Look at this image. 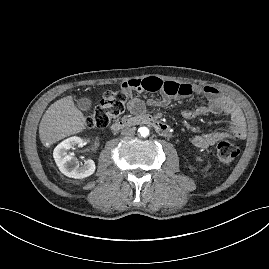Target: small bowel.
<instances>
[{
  "label": "small bowel",
  "instance_id": "1",
  "mask_svg": "<svg viewBox=\"0 0 269 269\" xmlns=\"http://www.w3.org/2000/svg\"><path fill=\"white\" fill-rule=\"evenodd\" d=\"M122 86L129 93L159 92L161 94L157 99L147 100L131 96L128 109L134 114L142 113L146 105L164 107L172 99H184L191 95L204 96L207 99V105L197 108L194 112H186V116L193 118L208 113L225 114L229 118V122L223 130L195 135L192 138V143L198 149L205 150L226 138L242 139L246 137L245 119L240 108L229 98L223 96L215 87L173 81L165 82L157 77L132 79L123 83Z\"/></svg>",
  "mask_w": 269,
  "mask_h": 269
}]
</instances>
